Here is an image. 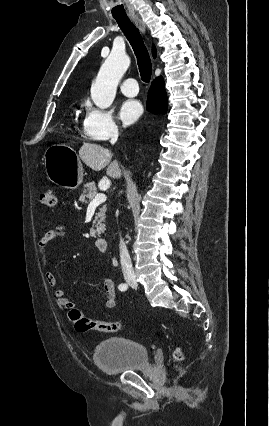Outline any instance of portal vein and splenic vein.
Wrapping results in <instances>:
<instances>
[{"mask_svg":"<svg viewBox=\"0 0 269 426\" xmlns=\"http://www.w3.org/2000/svg\"><path fill=\"white\" fill-rule=\"evenodd\" d=\"M106 199H107V197H106L105 194L99 193L94 197L93 200H91L90 205H97V204L103 203V202L106 201Z\"/></svg>","mask_w":269,"mask_h":426,"instance_id":"1","label":"portal vein and splenic vein"}]
</instances>
